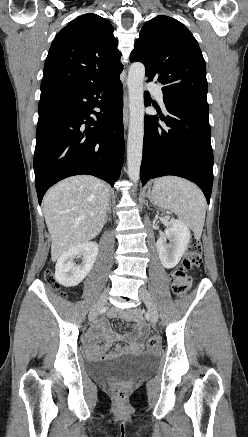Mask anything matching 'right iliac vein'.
<instances>
[{
    "label": "right iliac vein",
    "mask_w": 248,
    "mask_h": 437,
    "mask_svg": "<svg viewBox=\"0 0 248 437\" xmlns=\"http://www.w3.org/2000/svg\"><path fill=\"white\" fill-rule=\"evenodd\" d=\"M108 292L109 289H106L103 294L100 296L99 300L97 301L96 305L92 308L90 312V320H93L98 315L100 309L106 304L107 298H108Z\"/></svg>",
    "instance_id": "obj_1"
}]
</instances>
